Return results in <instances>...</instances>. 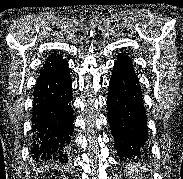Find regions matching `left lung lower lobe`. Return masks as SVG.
<instances>
[{
  "instance_id": "1",
  "label": "left lung lower lobe",
  "mask_w": 183,
  "mask_h": 179,
  "mask_svg": "<svg viewBox=\"0 0 183 179\" xmlns=\"http://www.w3.org/2000/svg\"><path fill=\"white\" fill-rule=\"evenodd\" d=\"M107 106L118 156L121 160L139 157L148 139L147 118L139 79L125 53L115 62Z\"/></svg>"
}]
</instances>
